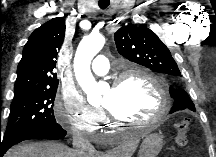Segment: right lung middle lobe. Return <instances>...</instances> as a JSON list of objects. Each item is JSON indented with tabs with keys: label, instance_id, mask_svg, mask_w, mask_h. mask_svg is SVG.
<instances>
[{
	"label": "right lung middle lobe",
	"instance_id": "obj_1",
	"mask_svg": "<svg viewBox=\"0 0 216 157\" xmlns=\"http://www.w3.org/2000/svg\"><path fill=\"white\" fill-rule=\"evenodd\" d=\"M56 92L57 87L43 88L14 96L2 141L30 130L58 126L53 112Z\"/></svg>",
	"mask_w": 216,
	"mask_h": 157
}]
</instances>
